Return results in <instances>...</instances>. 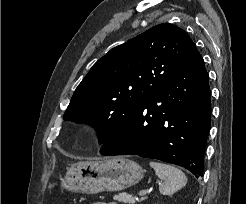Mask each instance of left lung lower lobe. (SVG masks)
Returning a JSON list of instances; mask_svg holds the SVG:
<instances>
[{
  "mask_svg": "<svg viewBox=\"0 0 246 204\" xmlns=\"http://www.w3.org/2000/svg\"><path fill=\"white\" fill-rule=\"evenodd\" d=\"M208 78L196 50L119 126L100 153L158 159L201 177L211 118Z\"/></svg>",
  "mask_w": 246,
  "mask_h": 204,
  "instance_id": "obj_1",
  "label": "left lung lower lobe"
}]
</instances>
